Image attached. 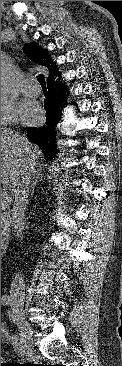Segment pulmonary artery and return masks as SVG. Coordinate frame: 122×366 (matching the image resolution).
<instances>
[{"mask_svg": "<svg viewBox=\"0 0 122 366\" xmlns=\"http://www.w3.org/2000/svg\"><path fill=\"white\" fill-rule=\"evenodd\" d=\"M21 90L24 94L37 96L40 94L41 90L38 85L32 80H25L21 85Z\"/></svg>", "mask_w": 122, "mask_h": 366, "instance_id": "pulmonary-artery-1", "label": "pulmonary artery"}]
</instances>
